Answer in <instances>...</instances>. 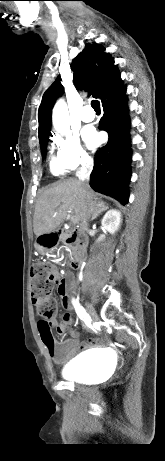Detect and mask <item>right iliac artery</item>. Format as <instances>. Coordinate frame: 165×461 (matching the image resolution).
Listing matches in <instances>:
<instances>
[{"label":"right iliac artery","instance_id":"82829eb1","mask_svg":"<svg viewBox=\"0 0 165 461\" xmlns=\"http://www.w3.org/2000/svg\"><path fill=\"white\" fill-rule=\"evenodd\" d=\"M73 304H74V307H75L76 311L78 312V314H80L87 322H90V321H91V318H90V316L86 313V311L84 310V308L81 307L77 301H74Z\"/></svg>","mask_w":165,"mask_h":461}]
</instances>
